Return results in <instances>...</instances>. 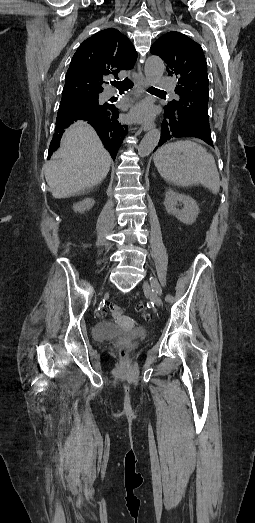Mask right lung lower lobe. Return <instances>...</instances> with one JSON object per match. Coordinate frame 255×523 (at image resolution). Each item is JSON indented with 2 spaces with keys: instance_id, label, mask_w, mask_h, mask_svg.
<instances>
[{
  "instance_id": "98d812e1",
  "label": "right lung lower lobe",
  "mask_w": 255,
  "mask_h": 523,
  "mask_svg": "<svg viewBox=\"0 0 255 523\" xmlns=\"http://www.w3.org/2000/svg\"><path fill=\"white\" fill-rule=\"evenodd\" d=\"M80 116H81L82 118H87V117L89 116V111H88L87 109H82V110L80 111Z\"/></svg>"
}]
</instances>
